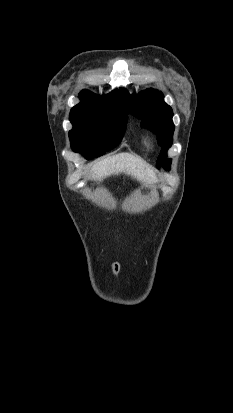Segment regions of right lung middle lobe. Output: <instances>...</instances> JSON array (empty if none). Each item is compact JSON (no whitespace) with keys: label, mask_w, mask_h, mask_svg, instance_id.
<instances>
[{"label":"right lung middle lobe","mask_w":233,"mask_h":413,"mask_svg":"<svg viewBox=\"0 0 233 413\" xmlns=\"http://www.w3.org/2000/svg\"><path fill=\"white\" fill-rule=\"evenodd\" d=\"M128 113L123 104L82 100L70 112L73 129L69 137L73 151L93 159L115 148L126 129Z\"/></svg>","instance_id":"right-lung-middle-lobe-1"}]
</instances>
